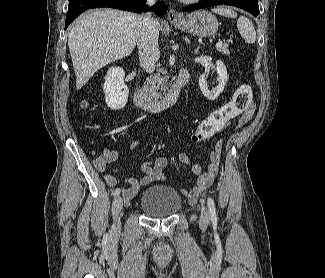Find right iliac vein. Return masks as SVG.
<instances>
[{"label":"right iliac vein","mask_w":325,"mask_h":278,"mask_svg":"<svg viewBox=\"0 0 325 278\" xmlns=\"http://www.w3.org/2000/svg\"><path fill=\"white\" fill-rule=\"evenodd\" d=\"M123 208V199L118 196L114 199L112 204V214H113V230L114 232H119L121 229L119 214Z\"/></svg>","instance_id":"right-iliac-vein-1"}]
</instances>
